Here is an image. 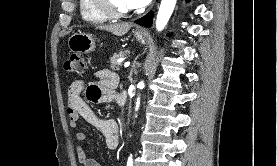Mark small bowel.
Masks as SVG:
<instances>
[{"label": "small bowel", "instance_id": "1", "mask_svg": "<svg viewBox=\"0 0 277 166\" xmlns=\"http://www.w3.org/2000/svg\"><path fill=\"white\" fill-rule=\"evenodd\" d=\"M119 77L109 70L96 73V80L86 84L82 80L71 83L68 89V117L71 128H77L80 119L98 128L105 139L108 149L115 151L120 141V130L116 121L100 117L90 104H106L117 97ZM76 139L83 142L87 133L78 131ZM78 161L82 166H101L95 159L87 156L82 145L77 146Z\"/></svg>", "mask_w": 277, "mask_h": 166}]
</instances>
